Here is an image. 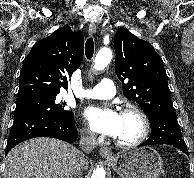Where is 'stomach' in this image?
Returning <instances> with one entry per match:
<instances>
[{"label": "stomach", "instance_id": "1", "mask_svg": "<svg viewBox=\"0 0 194 178\" xmlns=\"http://www.w3.org/2000/svg\"><path fill=\"white\" fill-rule=\"evenodd\" d=\"M108 161L122 178H158L163 167L160 154L151 147L118 154Z\"/></svg>", "mask_w": 194, "mask_h": 178}]
</instances>
